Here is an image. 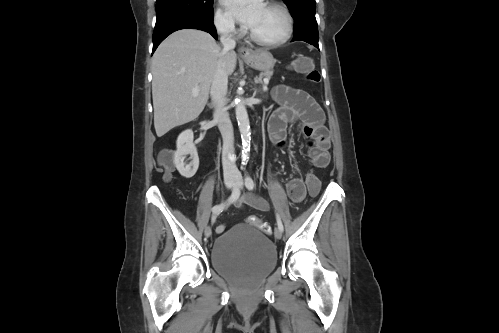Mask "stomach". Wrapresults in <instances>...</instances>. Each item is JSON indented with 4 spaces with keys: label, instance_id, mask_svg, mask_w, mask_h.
Here are the masks:
<instances>
[{
    "label": "stomach",
    "instance_id": "stomach-1",
    "mask_svg": "<svg viewBox=\"0 0 499 333\" xmlns=\"http://www.w3.org/2000/svg\"><path fill=\"white\" fill-rule=\"evenodd\" d=\"M243 60L252 68L259 71H269L272 70L276 60L273 55L263 49H258L251 51L248 56H244Z\"/></svg>",
    "mask_w": 499,
    "mask_h": 333
}]
</instances>
